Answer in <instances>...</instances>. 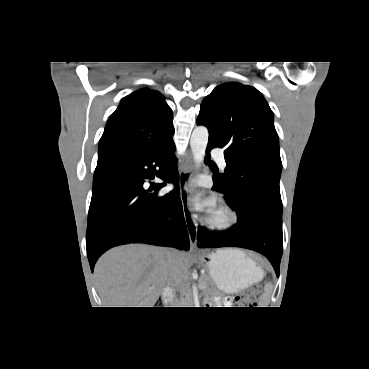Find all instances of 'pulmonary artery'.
I'll return each instance as SVG.
<instances>
[{
  "label": "pulmonary artery",
  "instance_id": "obj_1",
  "mask_svg": "<svg viewBox=\"0 0 369 369\" xmlns=\"http://www.w3.org/2000/svg\"><path fill=\"white\" fill-rule=\"evenodd\" d=\"M212 155L216 159V161L218 162L219 166L222 169H224L226 167V161H225V158H224V155H223L222 151L219 150V149H213L212 150Z\"/></svg>",
  "mask_w": 369,
  "mask_h": 369
}]
</instances>
